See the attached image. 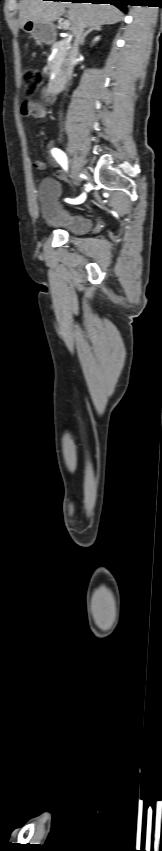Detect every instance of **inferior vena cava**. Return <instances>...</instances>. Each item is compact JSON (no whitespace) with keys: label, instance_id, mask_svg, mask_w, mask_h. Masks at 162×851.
<instances>
[{"label":"inferior vena cava","instance_id":"602c4592","mask_svg":"<svg viewBox=\"0 0 162 851\" xmlns=\"http://www.w3.org/2000/svg\"><path fill=\"white\" fill-rule=\"evenodd\" d=\"M83 32H84V24L83 23H79V25L73 30V34H74L75 39H74V45H73V48H72V51H71V54H70V58H69V62H68L66 72H65L66 84L69 82V80L71 78L72 68H73L74 62H75L77 54H78V48H79V45L81 44L82 37L84 35Z\"/></svg>","mask_w":162,"mask_h":851}]
</instances>
